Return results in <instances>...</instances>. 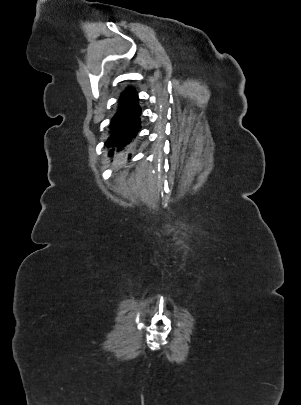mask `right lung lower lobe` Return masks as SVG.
Returning <instances> with one entry per match:
<instances>
[{"mask_svg":"<svg viewBox=\"0 0 301 405\" xmlns=\"http://www.w3.org/2000/svg\"><path fill=\"white\" fill-rule=\"evenodd\" d=\"M140 115L137 92L132 88L125 89L109 124V137L105 145L112 148L110 154L133 142L141 128Z\"/></svg>","mask_w":301,"mask_h":405,"instance_id":"1","label":"right lung lower lobe"}]
</instances>
